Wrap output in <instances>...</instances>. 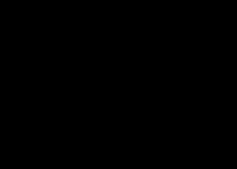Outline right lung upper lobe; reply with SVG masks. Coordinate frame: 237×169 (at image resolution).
Listing matches in <instances>:
<instances>
[{"label": "right lung upper lobe", "mask_w": 237, "mask_h": 169, "mask_svg": "<svg viewBox=\"0 0 237 169\" xmlns=\"http://www.w3.org/2000/svg\"><path fill=\"white\" fill-rule=\"evenodd\" d=\"M122 34L82 33L68 40L45 72L43 90L54 125L60 127L88 101L92 77L104 70L108 57L122 44Z\"/></svg>", "instance_id": "obj_1"}]
</instances>
